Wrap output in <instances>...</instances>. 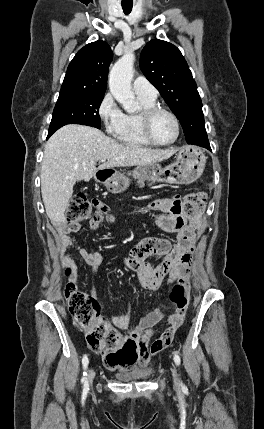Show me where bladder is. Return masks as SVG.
Here are the masks:
<instances>
[{"mask_svg":"<svg viewBox=\"0 0 264 429\" xmlns=\"http://www.w3.org/2000/svg\"><path fill=\"white\" fill-rule=\"evenodd\" d=\"M151 375L150 371L145 372H135L131 374H119L117 378L123 381H132V380H143L148 378Z\"/></svg>","mask_w":264,"mask_h":429,"instance_id":"31cf9c89","label":"bladder"}]
</instances>
